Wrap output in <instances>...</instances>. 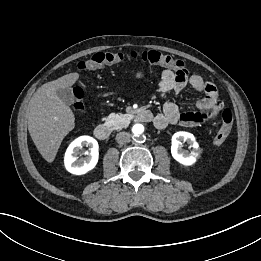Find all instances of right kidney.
Instances as JSON below:
<instances>
[{
	"mask_svg": "<svg viewBox=\"0 0 261 261\" xmlns=\"http://www.w3.org/2000/svg\"><path fill=\"white\" fill-rule=\"evenodd\" d=\"M89 146L90 153L87 157L78 159L77 154L82 146ZM99 158L98 142L90 136H80L67 148L64 164L66 169L75 175H82L92 170Z\"/></svg>",
	"mask_w": 261,
	"mask_h": 261,
	"instance_id": "right-kidney-1",
	"label": "right kidney"
}]
</instances>
